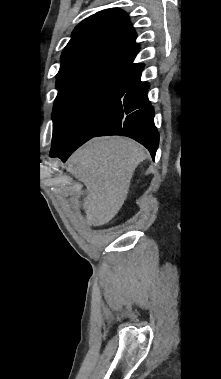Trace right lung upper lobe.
<instances>
[{
	"mask_svg": "<svg viewBox=\"0 0 221 379\" xmlns=\"http://www.w3.org/2000/svg\"><path fill=\"white\" fill-rule=\"evenodd\" d=\"M128 15L111 8L82 21L61 56L58 93L98 79L123 80L144 67L134 64L139 52Z\"/></svg>",
	"mask_w": 221,
	"mask_h": 379,
	"instance_id": "cb5924a9",
	"label": "right lung upper lobe"
}]
</instances>
